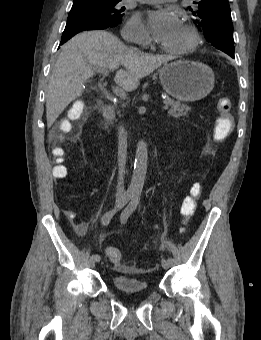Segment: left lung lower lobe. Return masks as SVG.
<instances>
[{
    "label": "left lung lower lobe",
    "instance_id": "obj_1",
    "mask_svg": "<svg viewBox=\"0 0 261 340\" xmlns=\"http://www.w3.org/2000/svg\"><path fill=\"white\" fill-rule=\"evenodd\" d=\"M229 56H231L232 58L234 57V54H231V55H229Z\"/></svg>",
    "mask_w": 261,
    "mask_h": 340
}]
</instances>
